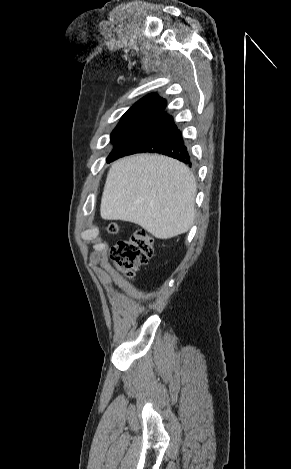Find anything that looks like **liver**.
<instances>
[{"mask_svg":"<svg viewBox=\"0 0 291 469\" xmlns=\"http://www.w3.org/2000/svg\"><path fill=\"white\" fill-rule=\"evenodd\" d=\"M197 187L183 163L157 154L115 161L106 178L100 214L104 220L138 224L158 239L187 232L195 217Z\"/></svg>","mask_w":291,"mask_h":469,"instance_id":"1","label":"liver"}]
</instances>
